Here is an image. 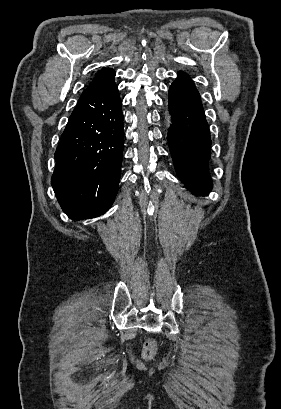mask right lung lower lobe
<instances>
[{"mask_svg":"<svg viewBox=\"0 0 281 409\" xmlns=\"http://www.w3.org/2000/svg\"><path fill=\"white\" fill-rule=\"evenodd\" d=\"M114 77L112 70L83 91L55 152L52 187L74 220L104 214L118 191L124 129Z\"/></svg>","mask_w":281,"mask_h":409,"instance_id":"98d812e1","label":"right lung lower lobe"}]
</instances>
